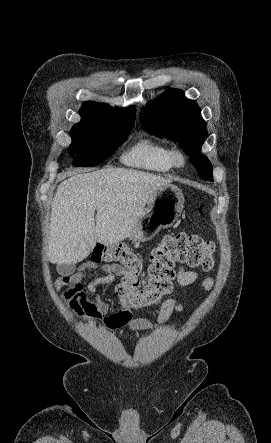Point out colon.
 <instances>
[{
  "instance_id": "colon-1",
  "label": "colon",
  "mask_w": 271,
  "mask_h": 443,
  "mask_svg": "<svg viewBox=\"0 0 271 443\" xmlns=\"http://www.w3.org/2000/svg\"><path fill=\"white\" fill-rule=\"evenodd\" d=\"M214 250L213 242L197 235H166L149 252L145 283L139 278V255L125 244L97 243L90 257L93 263L115 262L121 265L125 273L117 286V294L128 301L130 308L142 309L157 305L171 291L177 264L211 270Z\"/></svg>"
}]
</instances>
